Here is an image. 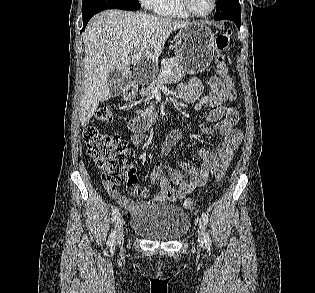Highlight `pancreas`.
Returning a JSON list of instances; mask_svg holds the SVG:
<instances>
[{
	"label": "pancreas",
	"instance_id": "cf45deb5",
	"mask_svg": "<svg viewBox=\"0 0 315 293\" xmlns=\"http://www.w3.org/2000/svg\"><path fill=\"white\" fill-rule=\"evenodd\" d=\"M161 69H169L170 72L167 75H159L157 78H155L148 87L143 88L140 91V95H142L143 97H150L155 89V85L157 84H167V83H177L179 82L184 76V69H183V65H182V59L179 56H176L172 59H168L167 61H165L162 66ZM152 107H153V103H151ZM142 114H145L144 111L141 112Z\"/></svg>",
	"mask_w": 315,
	"mask_h": 293
}]
</instances>
